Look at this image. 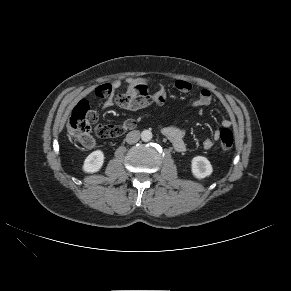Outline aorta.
Here are the masks:
<instances>
[{
  "label": "aorta",
  "mask_w": 291,
  "mask_h": 291,
  "mask_svg": "<svg viewBox=\"0 0 291 291\" xmlns=\"http://www.w3.org/2000/svg\"><path fill=\"white\" fill-rule=\"evenodd\" d=\"M141 139L144 142L150 141L152 139V132L150 130H144V131H142V133H141Z\"/></svg>",
  "instance_id": "762f6f07"
}]
</instances>
